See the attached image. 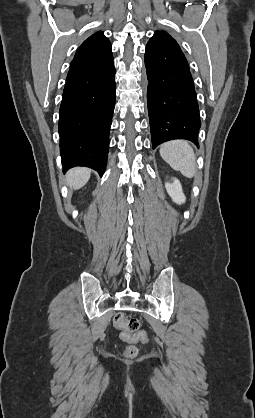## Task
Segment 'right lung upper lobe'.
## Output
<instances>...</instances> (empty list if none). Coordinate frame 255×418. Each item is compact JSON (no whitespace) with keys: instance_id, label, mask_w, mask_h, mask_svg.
Instances as JSON below:
<instances>
[{"instance_id":"obj_1","label":"right lung upper lobe","mask_w":255,"mask_h":418,"mask_svg":"<svg viewBox=\"0 0 255 418\" xmlns=\"http://www.w3.org/2000/svg\"><path fill=\"white\" fill-rule=\"evenodd\" d=\"M111 56L110 41L102 32H96L86 39L77 49L70 68L96 63Z\"/></svg>"}]
</instances>
